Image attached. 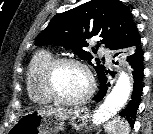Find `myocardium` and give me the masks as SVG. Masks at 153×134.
I'll return each mask as SVG.
<instances>
[{"mask_svg":"<svg viewBox=\"0 0 153 134\" xmlns=\"http://www.w3.org/2000/svg\"><path fill=\"white\" fill-rule=\"evenodd\" d=\"M64 65H72L80 68L86 75L88 80V88L86 93L77 99H67L58 94L54 86V76L58 68ZM42 88L46 95L54 102L67 105L78 106L86 103L93 95L95 89V81L90 68L82 61L74 58H53L43 69L41 76Z\"/></svg>","mask_w":153,"mask_h":134,"instance_id":"obj_1","label":"myocardium"}]
</instances>
